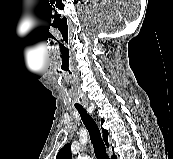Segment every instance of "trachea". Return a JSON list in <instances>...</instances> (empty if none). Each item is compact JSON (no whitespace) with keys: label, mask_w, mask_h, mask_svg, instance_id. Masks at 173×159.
Masks as SVG:
<instances>
[{"label":"trachea","mask_w":173,"mask_h":159,"mask_svg":"<svg viewBox=\"0 0 173 159\" xmlns=\"http://www.w3.org/2000/svg\"><path fill=\"white\" fill-rule=\"evenodd\" d=\"M81 119L87 128L91 142L93 144L94 153L97 159H109V156L106 152L105 144L101 138L100 130L95 123V121L92 119L91 116L87 113V111L84 108H78L77 109Z\"/></svg>","instance_id":"1"}]
</instances>
